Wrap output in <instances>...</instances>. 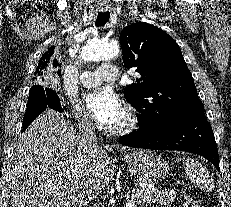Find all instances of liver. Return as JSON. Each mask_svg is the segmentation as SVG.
<instances>
[{
	"label": "liver",
	"instance_id": "1",
	"mask_svg": "<svg viewBox=\"0 0 231 207\" xmlns=\"http://www.w3.org/2000/svg\"><path fill=\"white\" fill-rule=\"evenodd\" d=\"M113 169L104 148H80L73 126L48 108L20 135L11 157V207H81L87 185L98 195Z\"/></svg>",
	"mask_w": 231,
	"mask_h": 207
}]
</instances>
